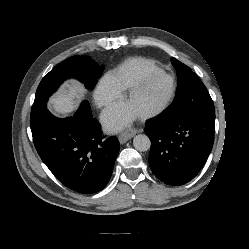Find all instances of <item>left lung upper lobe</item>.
Wrapping results in <instances>:
<instances>
[{"label": "left lung upper lobe", "mask_w": 249, "mask_h": 249, "mask_svg": "<svg viewBox=\"0 0 249 249\" xmlns=\"http://www.w3.org/2000/svg\"><path fill=\"white\" fill-rule=\"evenodd\" d=\"M171 62L178 77L176 96L160 116L175 121L192 114L215 112L213 101L198 76L177 59L172 57Z\"/></svg>", "instance_id": "obj_1"}]
</instances>
